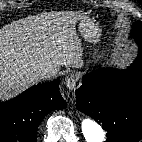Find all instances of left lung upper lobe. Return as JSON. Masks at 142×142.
<instances>
[{"mask_svg": "<svg viewBox=\"0 0 142 142\" xmlns=\"http://www.w3.org/2000/svg\"><path fill=\"white\" fill-rule=\"evenodd\" d=\"M131 35L139 44V52H142V23L141 22H136L134 24Z\"/></svg>", "mask_w": 142, "mask_h": 142, "instance_id": "1", "label": "left lung upper lobe"}]
</instances>
